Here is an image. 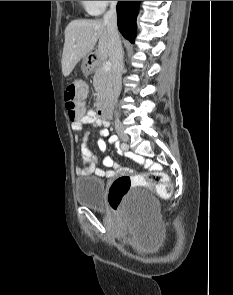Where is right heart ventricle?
Masks as SVG:
<instances>
[{
    "label": "right heart ventricle",
    "instance_id": "1",
    "mask_svg": "<svg viewBox=\"0 0 233 295\" xmlns=\"http://www.w3.org/2000/svg\"><path fill=\"white\" fill-rule=\"evenodd\" d=\"M81 2V4L86 8V10H87V3H86V1H80Z\"/></svg>",
    "mask_w": 233,
    "mask_h": 295
}]
</instances>
